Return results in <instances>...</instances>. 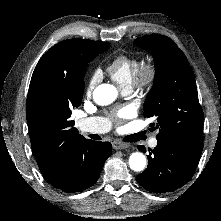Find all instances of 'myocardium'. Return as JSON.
<instances>
[{
    "instance_id": "obj_1",
    "label": "myocardium",
    "mask_w": 221,
    "mask_h": 221,
    "mask_svg": "<svg viewBox=\"0 0 221 221\" xmlns=\"http://www.w3.org/2000/svg\"><path fill=\"white\" fill-rule=\"evenodd\" d=\"M158 72L155 60L143 62L134 77L132 87L143 93L149 92L157 82Z\"/></svg>"
}]
</instances>
